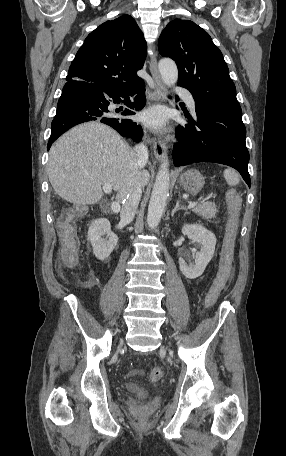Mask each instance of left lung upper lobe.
I'll return each instance as SVG.
<instances>
[{"label":"left lung upper lobe","instance_id":"obj_1","mask_svg":"<svg viewBox=\"0 0 286 456\" xmlns=\"http://www.w3.org/2000/svg\"><path fill=\"white\" fill-rule=\"evenodd\" d=\"M158 48L176 62L178 85L188 89L197 103L242 113L223 55L204 29L190 20L175 19L161 33Z\"/></svg>","mask_w":286,"mask_h":456}]
</instances>
